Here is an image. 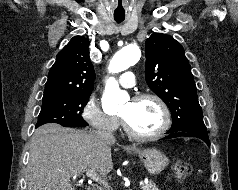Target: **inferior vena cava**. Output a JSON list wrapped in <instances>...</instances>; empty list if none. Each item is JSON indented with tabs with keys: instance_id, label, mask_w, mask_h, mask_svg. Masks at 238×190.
I'll return each instance as SVG.
<instances>
[{
	"instance_id": "1",
	"label": "inferior vena cava",
	"mask_w": 238,
	"mask_h": 190,
	"mask_svg": "<svg viewBox=\"0 0 238 190\" xmlns=\"http://www.w3.org/2000/svg\"><path fill=\"white\" fill-rule=\"evenodd\" d=\"M95 134L104 141H115L114 136L111 132L107 131H96Z\"/></svg>"
}]
</instances>
